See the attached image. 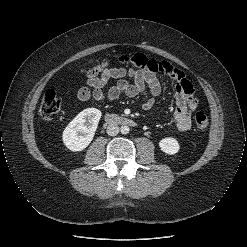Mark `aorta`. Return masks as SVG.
<instances>
[{"label": "aorta", "instance_id": "obj_1", "mask_svg": "<svg viewBox=\"0 0 247 247\" xmlns=\"http://www.w3.org/2000/svg\"><path fill=\"white\" fill-rule=\"evenodd\" d=\"M120 131L122 134H128L130 131V128L126 125L121 126Z\"/></svg>", "mask_w": 247, "mask_h": 247}]
</instances>
